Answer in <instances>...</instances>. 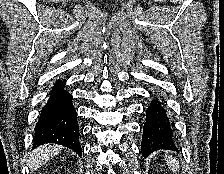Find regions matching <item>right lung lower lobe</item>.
I'll use <instances>...</instances> for the list:
<instances>
[{"instance_id":"98d812e1","label":"right lung lower lobe","mask_w":224,"mask_h":174,"mask_svg":"<svg viewBox=\"0 0 224 174\" xmlns=\"http://www.w3.org/2000/svg\"><path fill=\"white\" fill-rule=\"evenodd\" d=\"M64 85L65 81L59 80L52 87L35 126L33 148L55 143L66 146L81 156L77 112L72 104V96L64 90Z\"/></svg>"}]
</instances>
